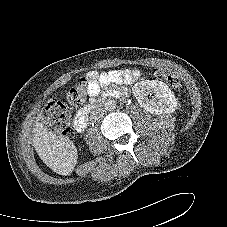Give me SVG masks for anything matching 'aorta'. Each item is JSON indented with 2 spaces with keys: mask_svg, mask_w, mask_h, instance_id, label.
<instances>
[{
  "mask_svg": "<svg viewBox=\"0 0 227 227\" xmlns=\"http://www.w3.org/2000/svg\"><path fill=\"white\" fill-rule=\"evenodd\" d=\"M104 107L108 111H112L116 108V101L112 99H108L104 103Z\"/></svg>",
  "mask_w": 227,
  "mask_h": 227,
  "instance_id": "obj_1",
  "label": "aorta"
}]
</instances>
